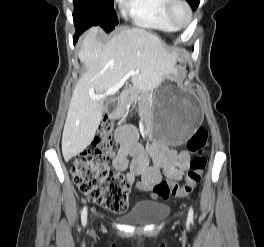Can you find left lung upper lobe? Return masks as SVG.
<instances>
[{
    "label": "left lung upper lobe",
    "instance_id": "left-lung-upper-lobe-1",
    "mask_svg": "<svg viewBox=\"0 0 264 247\" xmlns=\"http://www.w3.org/2000/svg\"><path fill=\"white\" fill-rule=\"evenodd\" d=\"M187 1L194 10H196L200 2V0H187Z\"/></svg>",
    "mask_w": 264,
    "mask_h": 247
}]
</instances>
